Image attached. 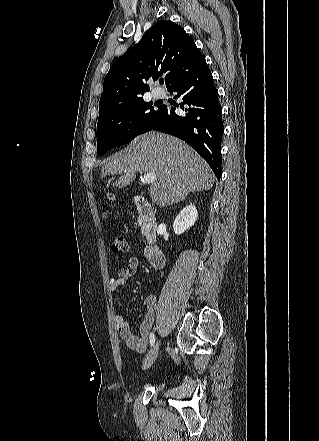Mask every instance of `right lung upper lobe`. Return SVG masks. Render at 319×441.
Wrapping results in <instances>:
<instances>
[{
  "instance_id": "cb5924a9",
  "label": "right lung upper lobe",
  "mask_w": 319,
  "mask_h": 441,
  "mask_svg": "<svg viewBox=\"0 0 319 441\" xmlns=\"http://www.w3.org/2000/svg\"><path fill=\"white\" fill-rule=\"evenodd\" d=\"M205 58L194 40L172 21H160L113 63L103 84L99 111L142 99L147 81L165 75L167 89Z\"/></svg>"
}]
</instances>
